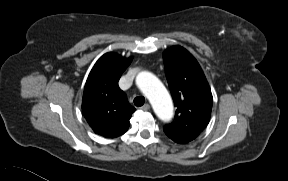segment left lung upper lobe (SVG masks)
<instances>
[{
	"instance_id": "obj_1",
	"label": "left lung upper lobe",
	"mask_w": 288,
	"mask_h": 181,
	"mask_svg": "<svg viewBox=\"0 0 288 181\" xmlns=\"http://www.w3.org/2000/svg\"><path fill=\"white\" fill-rule=\"evenodd\" d=\"M165 73L177 107L174 122L164 132L197 137L207 126L212 110V93L196 59L183 47L173 46L163 53Z\"/></svg>"
}]
</instances>
